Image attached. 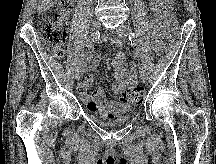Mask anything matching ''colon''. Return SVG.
<instances>
[{"label":"colon","mask_w":216,"mask_h":164,"mask_svg":"<svg viewBox=\"0 0 216 164\" xmlns=\"http://www.w3.org/2000/svg\"><path fill=\"white\" fill-rule=\"evenodd\" d=\"M176 11H178V2ZM73 7V0H60L54 12V19L48 21L42 30L43 40L49 44L53 54L62 57L64 53V45L66 43L68 31V19ZM170 36L172 41H177L179 37V22L177 13L175 12L169 19ZM128 104H141L145 99V89L141 86L135 87L124 97Z\"/></svg>","instance_id":"colon-1"}]
</instances>
